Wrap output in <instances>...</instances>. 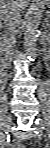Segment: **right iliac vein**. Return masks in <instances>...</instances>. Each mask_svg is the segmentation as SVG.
<instances>
[{"label":"right iliac vein","mask_w":50,"mask_h":148,"mask_svg":"<svg viewBox=\"0 0 50 148\" xmlns=\"http://www.w3.org/2000/svg\"><path fill=\"white\" fill-rule=\"evenodd\" d=\"M11 123H12V116L11 114H8L6 116L5 123L0 132V144L2 147L5 144L7 129L10 127Z\"/></svg>","instance_id":"obj_1"}]
</instances>
